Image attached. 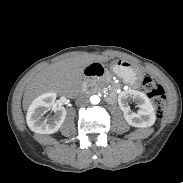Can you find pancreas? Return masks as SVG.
I'll return each instance as SVG.
<instances>
[{
    "label": "pancreas",
    "mask_w": 183,
    "mask_h": 183,
    "mask_svg": "<svg viewBox=\"0 0 183 183\" xmlns=\"http://www.w3.org/2000/svg\"><path fill=\"white\" fill-rule=\"evenodd\" d=\"M90 86H91V87H96V86H97V80H92V81L90 82Z\"/></svg>",
    "instance_id": "pancreas-1"
}]
</instances>
